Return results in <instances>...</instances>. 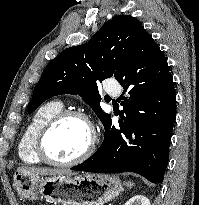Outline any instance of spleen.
Segmentation results:
<instances>
[{
  "mask_svg": "<svg viewBox=\"0 0 199 205\" xmlns=\"http://www.w3.org/2000/svg\"><path fill=\"white\" fill-rule=\"evenodd\" d=\"M133 185H134V183H133V182H130V181L126 183V186H127V187H130V188H131Z\"/></svg>",
  "mask_w": 199,
  "mask_h": 205,
  "instance_id": "1",
  "label": "spleen"
}]
</instances>
